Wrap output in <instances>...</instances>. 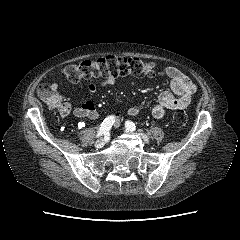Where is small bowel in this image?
<instances>
[{"mask_svg":"<svg viewBox=\"0 0 240 240\" xmlns=\"http://www.w3.org/2000/svg\"><path fill=\"white\" fill-rule=\"evenodd\" d=\"M161 76L170 80V90L163 91L156 103L153 104L151 113L155 118L164 117L167 110H179L188 107L196 92V86L191 79L175 67L165 68L161 72ZM116 81L114 77H107L100 82V86L103 88L110 87ZM51 85L57 90L58 84L54 83ZM85 88L88 91V99L74 108L70 103L62 102L58 109L61 116L65 117L73 113L78 118L97 119L99 117L97 108L92 101V97L97 91V86L95 83L89 82L85 85ZM128 113L133 116L137 115L139 109L132 107L128 110ZM115 116L118 117L117 114Z\"/></svg>","mask_w":240,"mask_h":240,"instance_id":"small-bowel-1","label":"small bowel"}]
</instances>
